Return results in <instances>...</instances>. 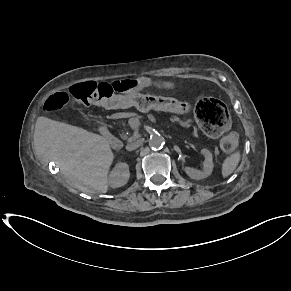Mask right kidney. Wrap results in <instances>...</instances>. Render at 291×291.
I'll use <instances>...</instances> for the list:
<instances>
[{
	"label": "right kidney",
	"instance_id": "1",
	"mask_svg": "<svg viewBox=\"0 0 291 291\" xmlns=\"http://www.w3.org/2000/svg\"><path fill=\"white\" fill-rule=\"evenodd\" d=\"M130 177L129 166L127 163H117L111 171L108 182L112 188L124 186Z\"/></svg>",
	"mask_w": 291,
	"mask_h": 291
}]
</instances>
